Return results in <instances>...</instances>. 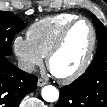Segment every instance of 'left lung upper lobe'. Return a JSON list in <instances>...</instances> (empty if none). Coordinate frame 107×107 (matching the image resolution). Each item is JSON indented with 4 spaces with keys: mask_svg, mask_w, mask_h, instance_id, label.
Wrapping results in <instances>:
<instances>
[{
    "mask_svg": "<svg viewBox=\"0 0 107 107\" xmlns=\"http://www.w3.org/2000/svg\"><path fill=\"white\" fill-rule=\"evenodd\" d=\"M91 16L95 23L96 29H97V38H98V42H99L95 58H96L99 50L104 51L107 56V29L95 15L92 14ZM95 58H94V60H95ZM94 60H93V62H94ZM105 61L107 63V57H106ZM93 62H92V64H93ZM90 67L86 70V72L83 75H81L75 81L78 83H89L90 82V71H91Z\"/></svg>",
    "mask_w": 107,
    "mask_h": 107,
    "instance_id": "5c2ea615",
    "label": "left lung upper lobe"
}]
</instances>
